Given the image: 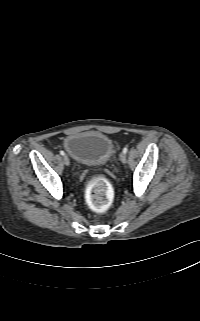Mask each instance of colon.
Returning a JSON list of instances; mask_svg holds the SVG:
<instances>
[{"label":"colon","instance_id":"obj_1","mask_svg":"<svg viewBox=\"0 0 200 321\" xmlns=\"http://www.w3.org/2000/svg\"><path fill=\"white\" fill-rule=\"evenodd\" d=\"M86 196L89 207L95 212L103 213L110 208L114 193L105 179L95 178L88 184Z\"/></svg>","mask_w":200,"mask_h":321}]
</instances>
